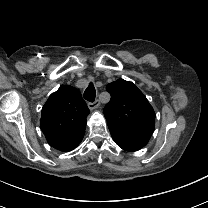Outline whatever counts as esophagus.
Listing matches in <instances>:
<instances>
[{"mask_svg": "<svg viewBox=\"0 0 208 208\" xmlns=\"http://www.w3.org/2000/svg\"><path fill=\"white\" fill-rule=\"evenodd\" d=\"M99 105H100V101L99 100H95L94 102L88 103V108L90 110H93V109L97 108Z\"/></svg>", "mask_w": 208, "mask_h": 208, "instance_id": "esophagus-1", "label": "esophagus"}]
</instances>
